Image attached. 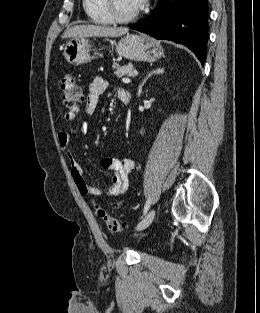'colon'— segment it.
<instances>
[{
  "instance_id": "obj_1",
  "label": "colon",
  "mask_w": 260,
  "mask_h": 313,
  "mask_svg": "<svg viewBox=\"0 0 260 313\" xmlns=\"http://www.w3.org/2000/svg\"><path fill=\"white\" fill-rule=\"evenodd\" d=\"M60 89L62 100L66 107L73 109L83 100V89L74 76L65 74L60 80ZM97 215L101 221L113 232L122 230L123 225L105 209L100 206L96 207Z\"/></svg>"
}]
</instances>
